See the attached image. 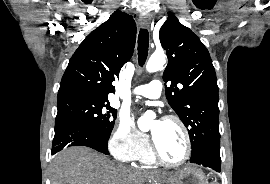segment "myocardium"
I'll return each instance as SVG.
<instances>
[{"mask_svg": "<svg viewBox=\"0 0 270 184\" xmlns=\"http://www.w3.org/2000/svg\"><path fill=\"white\" fill-rule=\"evenodd\" d=\"M163 121L174 122L180 127V129L184 135V139H185V154H184L183 158L177 162L167 161L161 156V154L158 150V147H157L154 139L152 138L151 139L152 155H153L156 162H158L166 167H170V168L181 167L187 163V161L190 159L191 153H192V142H191L189 130H188L186 124L183 122V120L180 119L178 116L166 115L163 117Z\"/></svg>", "mask_w": 270, "mask_h": 184, "instance_id": "1", "label": "myocardium"}]
</instances>
